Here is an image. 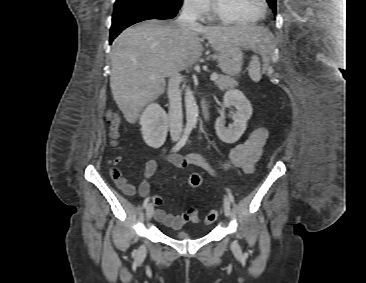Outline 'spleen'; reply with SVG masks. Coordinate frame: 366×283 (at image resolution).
<instances>
[{"label":"spleen","instance_id":"obj_1","mask_svg":"<svg viewBox=\"0 0 366 283\" xmlns=\"http://www.w3.org/2000/svg\"><path fill=\"white\" fill-rule=\"evenodd\" d=\"M248 73L250 78L254 82H258L261 79L260 62L259 58L254 55L248 67Z\"/></svg>","mask_w":366,"mask_h":283}]
</instances>
